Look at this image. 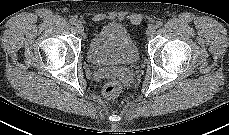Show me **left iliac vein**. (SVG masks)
<instances>
[{"label":"left iliac vein","mask_w":229,"mask_h":135,"mask_svg":"<svg viewBox=\"0 0 229 135\" xmlns=\"http://www.w3.org/2000/svg\"><path fill=\"white\" fill-rule=\"evenodd\" d=\"M156 26L155 25H150L148 28H147V30H146V35L148 36V37H152L154 34H155V32H156Z\"/></svg>","instance_id":"1"}]
</instances>
